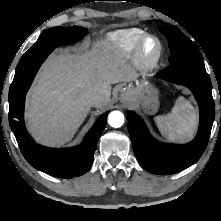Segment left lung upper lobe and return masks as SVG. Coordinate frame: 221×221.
I'll use <instances>...</instances> for the list:
<instances>
[{"instance_id": "obj_1", "label": "left lung upper lobe", "mask_w": 221, "mask_h": 221, "mask_svg": "<svg viewBox=\"0 0 221 221\" xmlns=\"http://www.w3.org/2000/svg\"><path fill=\"white\" fill-rule=\"evenodd\" d=\"M160 32L166 36L170 48V65H185L196 69L205 70L203 57L195 45L175 25L160 28Z\"/></svg>"}]
</instances>
